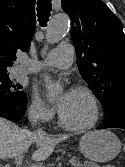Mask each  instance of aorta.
<instances>
[{
  "instance_id": "762f6f07",
  "label": "aorta",
  "mask_w": 125,
  "mask_h": 167,
  "mask_svg": "<svg viewBox=\"0 0 125 167\" xmlns=\"http://www.w3.org/2000/svg\"><path fill=\"white\" fill-rule=\"evenodd\" d=\"M70 20L67 15L61 14L54 16L46 30V41L50 44H54L63 39V37L69 31ZM44 82L48 89L47 97L51 99L59 91V86L54 84L49 76H44Z\"/></svg>"
}]
</instances>
